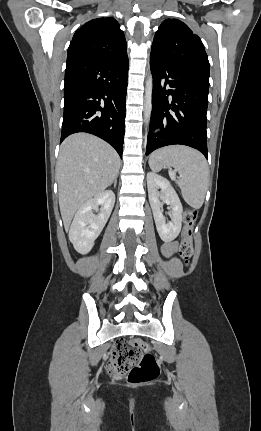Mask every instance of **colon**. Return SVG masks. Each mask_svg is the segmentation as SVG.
<instances>
[{
    "instance_id": "1",
    "label": "colon",
    "mask_w": 261,
    "mask_h": 431,
    "mask_svg": "<svg viewBox=\"0 0 261 431\" xmlns=\"http://www.w3.org/2000/svg\"><path fill=\"white\" fill-rule=\"evenodd\" d=\"M196 210L187 209L184 214L185 227L179 246V256L185 265H190L193 257L194 224L197 220ZM110 375L127 374L132 385H142L154 381L159 376V366L153 354L148 352V345L138 340H119L107 365Z\"/></svg>"
}]
</instances>
